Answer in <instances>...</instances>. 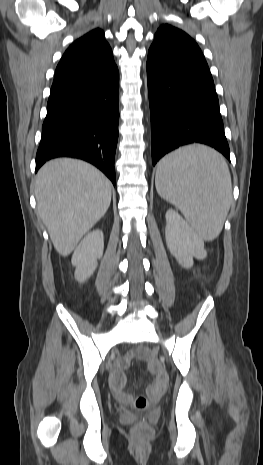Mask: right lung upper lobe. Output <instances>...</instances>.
<instances>
[{
  "label": "right lung upper lobe",
  "instance_id": "1",
  "mask_svg": "<svg viewBox=\"0 0 263 465\" xmlns=\"http://www.w3.org/2000/svg\"><path fill=\"white\" fill-rule=\"evenodd\" d=\"M115 68L112 50L104 39V32L95 29L66 50L56 68L53 85L101 76Z\"/></svg>",
  "mask_w": 263,
  "mask_h": 465
}]
</instances>
